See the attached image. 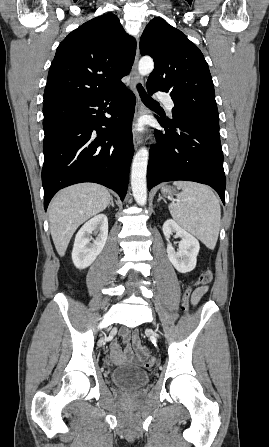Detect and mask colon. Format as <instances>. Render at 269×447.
I'll return each mask as SVG.
<instances>
[{"mask_svg": "<svg viewBox=\"0 0 269 447\" xmlns=\"http://www.w3.org/2000/svg\"><path fill=\"white\" fill-rule=\"evenodd\" d=\"M213 278H214L213 271L211 269H206L201 273V275L198 277V279L196 280V282L194 283V285L192 287L187 286L185 288L183 295L181 297L182 301L180 302V305L182 306V309L184 312H186L189 308L190 298H191L193 290L197 287H203V286L211 283L213 281ZM141 362L144 367L149 369L153 366L154 359L146 356V357L142 358Z\"/></svg>", "mask_w": 269, "mask_h": 447, "instance_id": "1", "label": "colon"}]
</instances>
